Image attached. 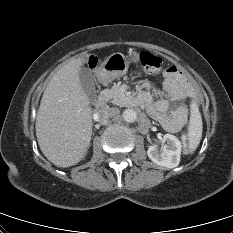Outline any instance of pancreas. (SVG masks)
Returning a JSON list of instances; mask_svg holds the SVG:
<instances>
[{"label": "pancreas", "instance_id": "1", "mask_svg": "<svg viewBox=\"0 0 233 233\" xmlns=\"http://www.w3.org/2000/svg\"><path fill=\"white\" fill-rule=\"evenodd\" d=\"M103 93L111 99V102L115 105L128 106L130 104V99L125 96L118 84L113 85L111 89H105Z\"/></svg>", "mask_w": 233, "mask_h": 233}]
</instances>
